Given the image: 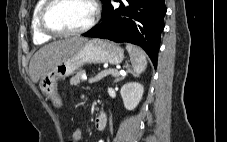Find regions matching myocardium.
Returning a JSON list of instances; mask_svg holds the SVG:
<instances>
[{
    "label": "myocardium",
    "instance_id": "f54148a6",
    "mask_svg": "<svg viewBox=\"0 0 227 142\" xmlns=\"http://www.w3.org/2000/svg\"><path fill=\"white\" fill-rule=\"evenodd\" d=\"M62 0H46L44 5L42 6L40 12H39V27L40 29L51 36H59V37H65V36H72V35H78L85 33L89 31L91 28H93L98 19H99V14H100V9L99 5L96 0H88L89 3L92 6V17L90 21L84 25L81 28L75 29V30H69V31H62L58 30L54 27H52L48 21V14L50 10L59 2Z\"/></svg>",
    "mask_w": 227,
    "mask_h": 142
}]
</instances>
